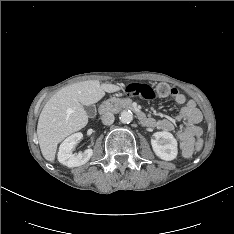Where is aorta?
Instances as JSON below:
<instances>
[{
    "instance_id": "aorta-1",
    "label": "aorta",
    "mask_w": 234,
    "mask_h": 234,
    "mask_svg": "<svg viewBox=\"0 0 234 234\" xmlns=\"http://www.w3.org/2000/svg\"><path fill=\"white\" fill-rule=\"evenodd\" d=\"M120 121L124 124H128L133 120V114L130 110H123L119 117Z\"/></svg>"
}]
</instances>
